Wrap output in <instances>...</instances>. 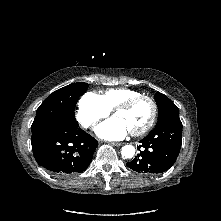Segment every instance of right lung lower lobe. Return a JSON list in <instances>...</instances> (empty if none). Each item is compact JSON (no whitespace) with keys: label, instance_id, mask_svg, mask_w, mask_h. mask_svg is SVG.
Returning a JSON list of instances; mask_svg holds the SVG:
<instances>
[{"label":"right lung lower lobe","instance_id":"98d812e1","mask_svg":"<svg viewBox=\"0 0 221 221\" xmlns=\"http://www.w3.org/2000/svg\"><path fill=\"white\" fill-rule=\"evenodd\" d=\"M32 150L37 163L58 175L84 171L98 145L77 122L58 116L32 129Z\"/></svg>","mask_w":221,"mask_h":221}]
</instances>
